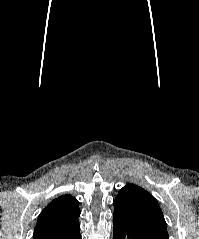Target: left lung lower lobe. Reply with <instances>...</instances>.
<instances>
[{
    "instance_id": "0a47b994",
    "label": "left lung lower lobe",
    "mask_w": 199,
    "mask_h": 239,
    "mask_svg": "<svg viewBox=\"0 0 199 239\" xmlns=\"http://www.w3.org/2000/svg\"><path fill=\"white\" fill-rule=\"evenodd\" d=\"M113 220L114 239H156L130 220L115 213Z\"/></svg>"
}]
</instances>
